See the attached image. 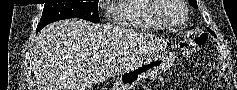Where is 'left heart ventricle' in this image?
Returning a JSON list of instances; mask_svg holds the SVG:
<instances>
[{
  "label": "left heart ventricle",
  "mask_w": 237,
  "mask_h": 90,
  "mask_svg": "<svg viewBox=\"0 0 237 90\" xmlns=\"http://www.w3.org/2000/svg\"><path fill=\"white\" fill-rule=\"evenodd\" d=\"M182 18V12L180 13H170L169 16H166L165 19H162L165 24L169 26L176 25Z\"/></svg>",
  "instance_id": "left-heart-ventricle-1"
}]
</instances>
